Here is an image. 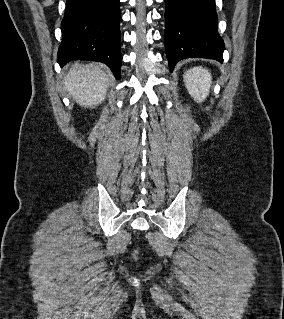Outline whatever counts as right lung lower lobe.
I'll return each mask as SVG.
<instances>
[{
  "label": "right lung lower lobe",
  "mask_w": 284,
  "mask_h": 319,
  "mask_svg": "<svg viewBox=\"0 0 284 319\" xmlns=\"http://www.w3.org/2000/svg\"><path fill=\"white\" fill-rule=\"evenodd\" d=\"M119 21V0H67L58 63L62 66L70 60L102 62L119 79Z\"/></svg>",
  "instance_id": "98d812e1"
}]
</instances>
